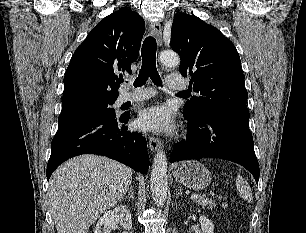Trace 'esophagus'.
Returning a JSON list of instances; mask_svg holds the SVG:
<instances>
[{
	"instance_id": "34e87169",
	"label": "esophagus",
	"mask_w": 306,
	"mask_h": 233,
	"mask_svg": "<svg viewBox=\"0 0 306 233\" xmlns=\"http://www.w3.org/2000/svg\"><path fill=\"white\" fill-rule=\"evenodd\" d=\"M151 33L155 37L157 41V45L161 47L162 46V29H161V24L159 22L151 23ZM148 143H149V147L151 151L153 152H157L161 149V141L158 138L149 136Z\"/></svg>"
}]
</instances>
